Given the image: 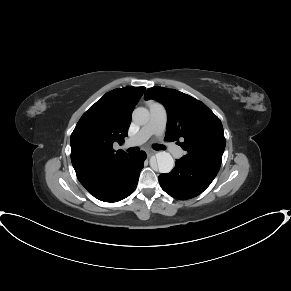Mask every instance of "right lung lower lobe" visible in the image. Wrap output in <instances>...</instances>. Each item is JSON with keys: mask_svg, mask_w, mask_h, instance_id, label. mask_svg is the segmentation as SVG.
I'll return each instance as SVG.
<instances>
[{"mask_svg": "<svg viewBox=\"0 0 291 291\" xmlns=\"http://www.w3.org/2000/svg\"><path fill=\"white\" fill-rule=\"evenodd\" d=\"M145 159L144 151L129 154L110 165L77 173V178L95 198L117 202L136 189Z\"/></svg>", "mask_w": 291, "mask_h": 291, "instance_id": "98d812e1", "label": "right lung lower lobe"}]
</instances>
